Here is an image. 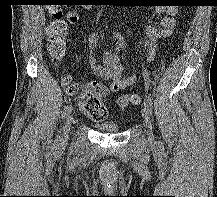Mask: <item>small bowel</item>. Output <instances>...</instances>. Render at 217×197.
Masks as SVG:
<instances>
[{
	"label": "small bowel",
	"mask_w": 217,
	"mask_h": 197,
	"mask_svg": "<svg viewBox=\"0 0 217 197\" xmlns=\"http://www.w3.org/2000/svg\"><path fill=\"white\" fill-rule=\"evenodd\" d=\"M162 14L161 20L157 26L146 25L140 26L142 35L137 46L144 45L148 48V61L154 60L157 52V43L161 38L169 36L175 25L176 8L173 5H163L157 8ZM66 19L69 23L74 24L79 21V14L76 11H68ZM115 44V51H105L103 54L102 64H99L96 57L91 53L89 56L90 66L101 79L110 80L109 90L118 92L132 86L137 79L136 74L124 76L125 67L120 60V53L126 49L125 39L122 34L115 33L112 37ZM99 41L96 32L89 35L88 45L92 52Z\"/></svg>",
	"instance_id": "1"
}]
</instances>
